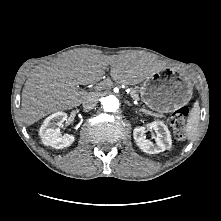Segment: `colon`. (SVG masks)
I'll return each mask as SVG.
<instances>
[{"label":"colon","instance_id":"5ec220e1","mask_svg":"<svg viewBox=\"0 0 221 221\" xmlns=\"http://www.w3.org/2000/svg\"><path fill=\"white\" fill-rule=\"evenodd\" d=\"M189 110L183 106L176 109L171 115V126L177 139H183L186 136L185 124Z\"/></svg>","mask_w":221,"mask_h":221}]
</instances>
